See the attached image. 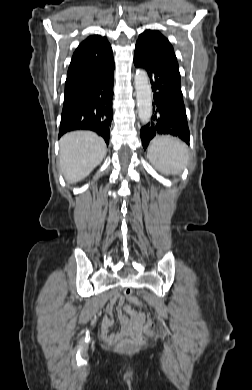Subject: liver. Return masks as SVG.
Instances as JSON below:
<instances>
[{
  "mask_svg": "<svg viewBox=\"0 0 252 390\" xmlns=\"http://www.w3.org/2000/svg\"><path fill=\"white\" fill-rule=\"evenodd\" d=\"M106 155L104 140L91 131H73L60 139V169L68 183L87 177Z\"/></svg>",
  "mask_w": 252,
  "mask_h": 390,
  "instance_id": "obj_1",
  "label": "liver"
}]
</instances>
